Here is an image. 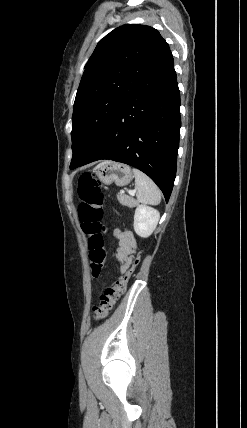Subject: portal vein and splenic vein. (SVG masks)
<instances>
[{"label":"portal vein and splenic vein","mask_w":247,"mask_h":428,"mask_svg":"<svg viewBox=\"0 0 247 428\" xmlns=\"http://www.w3.org/2000/svg\"><path fill=\"white\" fill-rule=\"evenodd\" d=\"M128 193H129L131 196H134V195H135V193H136V190H129V191H128Z\"/></svg>","instance_id":"18ae733b"}]
</instances>
